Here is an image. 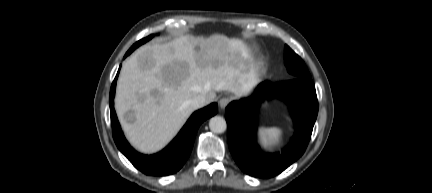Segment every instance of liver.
Here are the masks:
<instances>
[{"label": "liver", "instance_id": "1", "mask_svg": "<svg viewBox=\"0 0 432 193\" xmlns=\"http://www.w3.org/2000/svg\"><path fill=\"white\" fill-rule=\"evenodd\" d=\"M259 80L251 50L242 40L222 34L180 35L144 45L124 61L115 109L130 144L154 153L184 125L195 97L205 96L208 104L218 91L246 96ZM128 111L135 115L132 122L124 117Z\"/></svg>", "mask_w": 432, "mask_h": 193}]
</instances>
